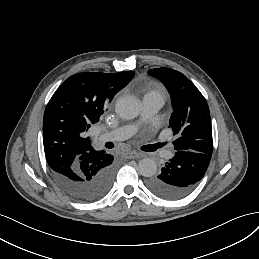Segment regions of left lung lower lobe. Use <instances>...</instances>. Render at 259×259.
Listing matches in <instances>:
<instances>
[{
  "mask_svg": "<svg viewBox=\"0 0 259 259\" xmlns=\"http://www.w3.org/2000/svg\"><path fill=\"white\" fill-rule=\"evenodd\" d=\"M211 155L191 150H177L158 176L147 181L148 189L166 200H178L190 194L204 177Z\"/></svg>",
  "mask_w": 259,
  "mask_h": 259,
  "instance_id": "left-lung-lower-lobe-1",
  "label": "left lung lower lobe"
}]
</instances>
